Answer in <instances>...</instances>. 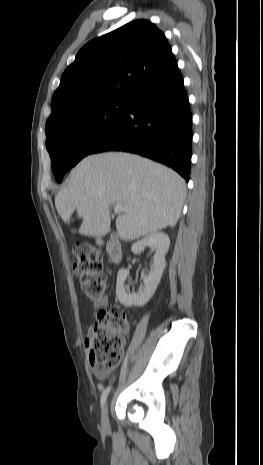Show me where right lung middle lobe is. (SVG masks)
<instances>
[{"instance_id": "dd1d6c3e", "label": "right lung middle lobe", "mask_w": 263, "mask_h": 465, "mask_svg": "<svg viewBox=\"0 0 263 465\" xmlns=\"http://www.w3.org/2000/svg\"><path fill=\"white\" fill-rule=\"evenodd\" d=\"M128 105L129 98L101 100L72 109L46 124V148L58 182L114 130Z\"/></svg>"}]
</instances>
